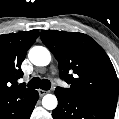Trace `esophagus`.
<instances>
[{
  "label": "esophagus",
  "mask_w": 119,
  "mask_h": 119,
  "mask_svg": "<svg viewBox=\"0 0 119 119\" xmlns=\"http://www.w3.org/2000/svg\"><path fill=\"white\" fill-rule=\"evenodd\" d=\"M38 93H39L40 96H44L47 93V91L39 89Z\"/></svg>",
  "instance_id": "obj_1"
}]
</instances>
